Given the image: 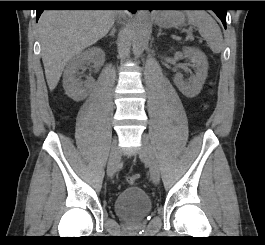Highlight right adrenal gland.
Segmentation results:
<instances>
[{
	"label": "right adrenal gland",
	"mask_w": 265,
	"mask_h": 245,
	"mask_svg": "<svg viewBox=\"0 0 265 245\" xmlns=\"http://www.w3.org/2000/svg\"><path fill=\"white\" fill-rule=\"evenodd\" d=\"M115 32H116L115 28H112L110 33L106 35L105 38H107L108 36L115 37Z\"/></svg>",
	"instance_id": "right-adrenal-gland-1"
}]
</instances>
